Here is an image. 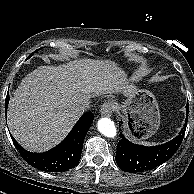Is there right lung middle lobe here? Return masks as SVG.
<instances>
[{
    "instance_id": "dd1d6c3e",
    "label": "right lung middle lobe",
    "mask_w": 194,
    "mask_h": 194,
    "mask_svg": "<svg viewBox=\"0 0 194 194\" xmlns=\"http://www.w3.org/2000/svg\"><path fill=\"white\" fill-rule=\"evenodd\" d=\"M38 50H39V49L35 50L34 52H37ZM34 52H33V53H34ZM33 53H31L30 56H29L28 58H30V57L33 55Z\"/></svg>"
}]
</instances>
